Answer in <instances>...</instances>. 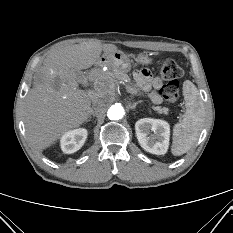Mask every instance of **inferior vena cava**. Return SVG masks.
I'll list each match as a JSON object with an SVG mask.
<instances>
[{"instance_id": "inferior-vena-cava-1", "label": "inferior vena cava", "mask_w": 233, "mask_h": 233, "mask_svg": "<svg viewBox=\"0 0 233 233\" xmlns=\"http://www.w3.org/2000/svg\"><path fill=\"white\" fill-rule=\"evenodd\" d=\"M100 91H95V92H89L88 95L90 99L92 100L93 103H96L98 100V97L100 96Z\"/></svg>"}]
</instances>
